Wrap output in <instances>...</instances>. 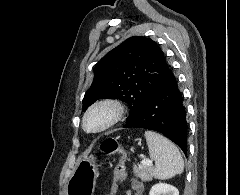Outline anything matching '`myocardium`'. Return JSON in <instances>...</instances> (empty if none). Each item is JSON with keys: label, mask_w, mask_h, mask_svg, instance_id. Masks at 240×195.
Here are the masks:
<instances>
[{"label": "myocardium", "mask_w": 240, "mask_h": 195, "mask_svg": "<svg viewBox=\"0 0 240 195\" xmlns=\"http://www.w3.org/2000/svg\"><path fill=\"white\" fill-rule=\"evenodd\" d=\"M124 111V106L117 99L99 100L93 103L84 113L83 129L88 133L103 132L117 124L122 119ZM93 115H101L102 121L98 126L91 128L88 126V120Z\"/></svg>", "instance_id": "1"}]
</instances>
